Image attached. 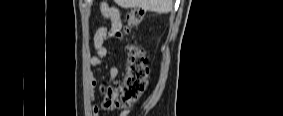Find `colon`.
<instances>
[{
    "label": "colon",
    "mask_w": 283,
    "mask_h": 116,
    "mask_svg": "<svg viewBox=\"0 0 283 116\" xmlns=\"http://www.w3.org/2000/svg\"><path fill=\"white\" fill-rule=\"evenodd\" d=\"M144 10L131 9L126 15L125 32L137 28L143 21ZM128 55L127 73L123 82L116 87L101 88V105L104 110L129 107L135 103L146 89L147 60L142 47L129 44L125 48Z\"/></svg>",
    "instance_id": "colon-1"
}]
</instances>
